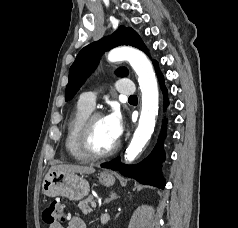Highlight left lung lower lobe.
<instances>
[{"mask_svg":"<svg viewBox=\"0 0 238 228\" xmlns=\"http://www.w3.org/2000/svg\"><path fill=\"white\" fill-rule=\"evenodd\" d=\"M153 64L155 66L156 73L158 75L161 89L164 94V105L168 106L167 100V89L164 85V78L162 73L158 68V62L153 60ZM166 120L163 122L162 132L159 136V141H161L165 137V124ZM165 153L163 150V144L159 143L155 146L151 154L144 159L141 163L137 165H124L120 161V157L115 158L114 160L103 164L101 167L109 168L112 170L119 171L122 175L134 178L142 184L152 185L158 187L160 189H164L165 181L161 174V163L164 161Z\"/></svg>","mask_w":238,"mask_h":228,"instance_id":"1","label":"left lung lower lobe"}]
</instances>
